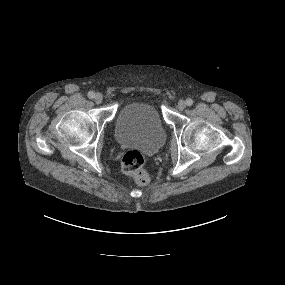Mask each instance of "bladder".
Listing matches in <instances>:
<instances>
[{"label": "bladder", "instance_id": "bladder-1", "mask_svg": "<svg viewBox=\"0 0 285 285\" xmlns=\"http://www.w3.org/2000/svg\"><path fill=\"white\" fill-rule=\"evenodd\" d=\"M115 137L121 145H136L154 153L164 145L166 133L157 109L150 103L134 101L118 113Z\"/></svg>", "mask_w": 285, "mask_h": 285}]
</instances>
